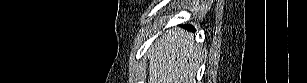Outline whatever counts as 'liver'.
Masks as SVG:
<instances>
[{
    "label": "liver",
    "mask_w": 307,
    "mask_h": 83,
    "mask_svg": "<svg viewBox=\"0 0 307 83\" xmlns=\"http://www.w3.org/2000/svg\"><path fill=\"white\" fill-rule=\"evenodd\" d=\"M198 60L199 47L188 32L166 31L149 49L148 83H195Z\"/></svg>",
    "instance_id": "liver-1"
}]
</instances>
